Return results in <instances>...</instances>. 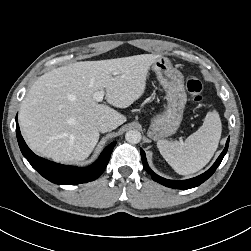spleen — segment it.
I'll return each mask as SVG.
<instances>
[{
  "label": "spleen",
  "mask_w": 251,
  "mask_h": 251,
  "mask_svg": "<svg viewBox=\"0 0 251 251\" xmlns=\"http://www.w3.org/2000/svg\"><path fill=\"white\" fill-rule=\"evenodd\" d=\"M222 124L218 112H208L203 125L184 142L157 141L160 154L180 175L201 170L213 157L221 138Z\"/></svg>",
  "instance_id": "spleen-1"
}]
</instances>
